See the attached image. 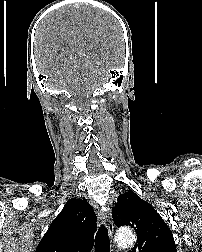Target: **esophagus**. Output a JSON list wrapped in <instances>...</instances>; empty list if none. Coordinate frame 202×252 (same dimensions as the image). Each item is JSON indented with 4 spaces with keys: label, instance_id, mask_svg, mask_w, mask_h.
Wrapping results in <instances>:
<instances>
[{
    "label": "esophagus",
    "instance_id": "obj_1",
    "mask_svg": "<svg viewBox=\"0 0 202 252\" xmlns=\"http://www.w3.org/2000/svg\"><path fill=\"white\" fill-rule=\"evenodd\" d=\"M98 217L103 220L104 222H106V225H107V228H108V231H109V234L111 236H113L114 234V224H113V221L111 219V214L109 212V210L107 211H102V210H99L98 209Z\"/></svg>",
    "mask_w": 202,
    "mask_h": 252
}]
</instances>
